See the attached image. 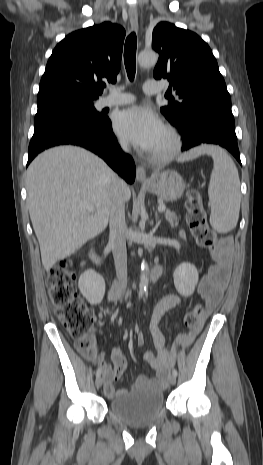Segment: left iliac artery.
Instances as JSON below:
<instances>
[{
	"label": "left iliac artery",
	"instance_id": "1",
	"mask_svg": "<svg viewBox=\"0 0 263 465\" xmlns=\"http://www.w3.org/2000/svg\"><path fill=\"white\" fill-rule=\"evenodd\" d=\"M172 374L175 375V376H177V374H178L177 370H176V369H173Z\"/></svg>",
	"mask_w": 263,
	"mask_h": 465
}]
</instances>
